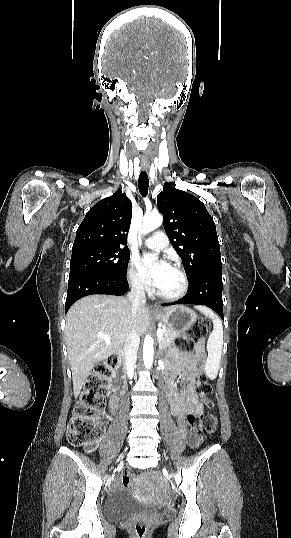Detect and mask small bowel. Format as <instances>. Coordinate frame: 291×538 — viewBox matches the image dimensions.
I'll return each instance as SVG.
<instances>
[{
    "label": "small bowel",
    "instance_id": "1",
    "mask_svg": "<svg viewBox=\"0 0 291 538\" xmlns=\"http://www.w3.org/2000/svg\"><path fill=\"white\" fill-rule=\"evenodd\" d=\"M195 370L196 364L192 358L179 355L172 363L166 377L171 411L177 417L181 434L191 448H197L201 443V436L186 428L185 419L188 414H200L202 412V405L198 401L195 390ZM178 377L182 378L186 383L184 391H179L176 388L175 381ZM109 410L111 413H115L117 410V400L114 396L110 398Z\"/></svg>",
    "mask_w": 291,
    "mask_h": 538
}]
</instances>
